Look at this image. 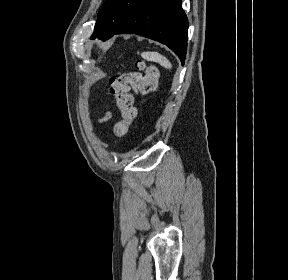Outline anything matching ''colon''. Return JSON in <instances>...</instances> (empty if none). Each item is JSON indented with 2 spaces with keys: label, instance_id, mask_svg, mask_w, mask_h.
<instances>
[{
  "label": "colon",
  "instance_id": "1",
  "mask_svg": "<svg viewBox=\"0 0 288 280\" xmlns=\"http://www.w3.org/2000/svg\"><path fill=\"white\" fill-rule=\"evenodd\" d=\"M136 68L137 71L119 74L110 79V93L115 97L116 106L121 114V120L117 121L113 128L117 138L127 134L137 114L130 89L141 95L157 89L159 78L157 67L139 61Z\"/></svg>",
  "mask_w": 288,
  "mask_h": 280
}]
</instances>
